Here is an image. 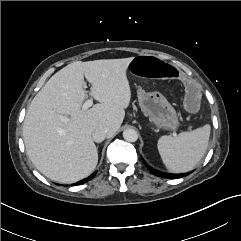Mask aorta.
I'll use <instances>...</instances> for the list:
<instances>
[{"mask_svg":"<svg viewBox=\"0 0 241 241\" xmlns=\"http://www.w3.org/2000/svg\"><path fill=\"white\" fill-rule=\"evenodd\" d=\"M123 138L128 142H135L138 139V134L134 129H126L123 132Z\"/></svg>","mask_w":241,"mask_h":241,"instance_id":"1","label":"aorta"}]
</instances>
